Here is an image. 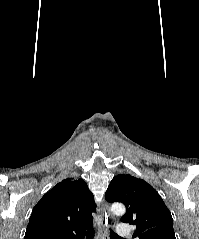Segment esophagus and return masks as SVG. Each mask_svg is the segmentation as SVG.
<instances>
[{"label": "esophagus", "instance_id": "esophagus-1", "mask_svg": "<svg viewBox=\"0 0 199 239\" xmlns=\"http://www.w3.org/2000/svg\"><path fill=\"white\" fill-rule=\"evenodd\" d=\"M103 209L105 212V219H103L101 221V232H102V239H106L107 235H108V228L114 226L115 224V218L114 216L111 214L110 209H109V205L107 202L103 203Z\"/></svg>", "mask_w": 199, "mask_h": 239}]
</instances>
